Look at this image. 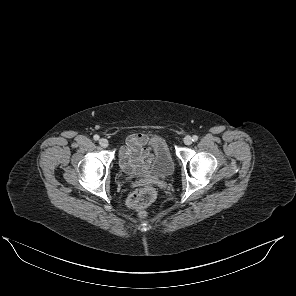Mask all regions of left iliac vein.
Returning a JSON list of instances; mask_svg holds the SVG:
<instances>
[{
    "instance_id": "1",
    "label": "left iliac vein",
    "mask_w": 296,
    "mask_h": 296,
    "mask_svg": "<svg viewBox=\"0 0 296 296\" xmlns=\"http://www.w3.org/2000/svg\"><path fill=\"white\" fill-rule=\"evenodd\" d=\"M183 141H184L185 145H191L192 144V137L186 136Z\"/></svg>"
}]
</instances>
